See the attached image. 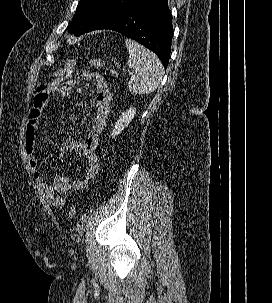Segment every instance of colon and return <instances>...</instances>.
<instances>
[{
    "instance_id": "colon-1",
    "label": "colon",
    "mask_w": 272,
    "mask_h": 303,
    "mask_svg": "<svg viewBox=\"0 0 272 303\" xmlns=\"http://www.w3.org/2000/svg\"><path fill=\"white\" fill-rule=\"evenodd\" d=\"M90 64L93 66V67H96V68H100L103 66V61L100 59V58H97V57H94L90 60ZM74 65H75V61L74 60H71L67 63V65L55 72L54 74H52L51 76V83L48 84L49 85V88L52 92H57L60 85L67 79L70 77V75L72 74L73 72V68H74ZM110 75L112 77H117L118 76V71L114 68H111L110 71H109ZM76 214V211H75V208L74 207H70L68 209V216L70 218H74Z\"/></svg>"
}]
</instances>
